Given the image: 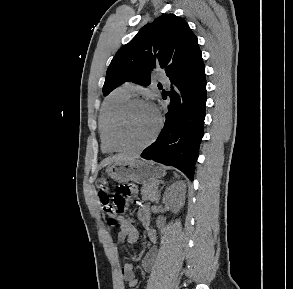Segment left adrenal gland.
I'll return each instance as SVG.
<instances>
[{
  "mask_svg": "<svg viewBox=\"0 0 293 289\" xmlns=\"http://www.w3.org/2000/svg\"><path fill=\"white\" fill-rule=\"evenodd\" d=\"M175 177H178L177 175H175ZM163 188V187H162ZM162 188L159 190V194H160V192H161V190H162ZM159 201V200H158Z\"/></svg>",
  "mask_w": 293,
  "mask_h": 289,
  "instance_id": "1",
  "label": "left adrenal gland"
}]
</instances>
